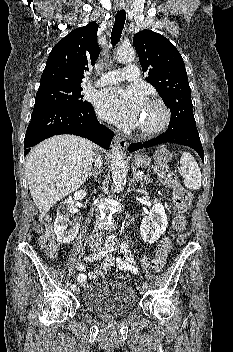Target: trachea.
<instances>
[{
  "mask_svg": "<svg viewBox=\"0 0 233 352\" xmlns=\"http://www.w3.org/2000/svg\"><path fill=\"white\" fill-rule=\"evenodd\" d=\"M125 20H126V12L124 10H118L115 16V23L111 32V44L113 46L118 44V42L120 41Z\"/></svg>",
  "mask_w": 233,
  "mask_h": 352,
  "instance_id": "3493384b",
  "label": "trachea"
}]
</instances>
